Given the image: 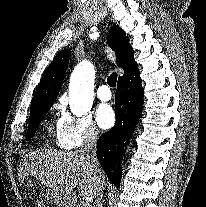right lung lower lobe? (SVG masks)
<instances>
[{
    "instance_id": "1",
    "label": "right lung lower lobe",
    "mask_w": 206,
    "mask_h": 207,
    "mask_svg": "<svg viewBox=\"0 0 206 207\" xmlns=\"http://www.w3.org/2000/svg\"><path fill=\"white\" fill-rule=\"evenodd\" d=\"M141 82L137 65L118 79L116 123L97 141V158L109 180L117 187L122 176L121 159L142 112L144 93Z\"/></svg>"
}]
</instances>
